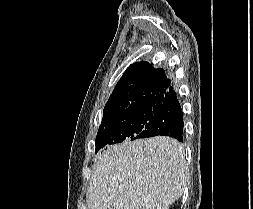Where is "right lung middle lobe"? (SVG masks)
<instances>
[{
	"mask_svg": "<svg viewBox=\"0 0 253 209\" xmlns=\"http://www.w3.org/2000/svg\"><path fill=\"white\" fill-rule=\"evenodd\" d=\"M157 117L158 111L152 106H144L130 110L109 121L101 122L95 141V153L125 139H139L140 133L148 129Z\"/></svg>",
	"mask_w": 253,
	"mask_h": 209,
	"instance_id": "1",
	"label": "right lung middle lobe"
}]
</instances>
